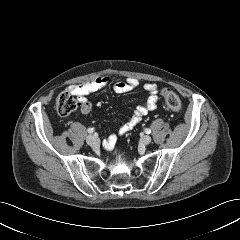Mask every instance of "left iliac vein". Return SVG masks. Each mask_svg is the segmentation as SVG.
<instances>
[{
    "instance_id": "left-iliac-vein-1",
    "label": "left iliac vein",
    "mask_w": 240,
    "mask_h": 240,
    "mask_svg": "<svg viewBox=\"0 0 240 240\" xmlns=\"http://www.w3.org/2000/svg\"><path fill=\"white\" fill-rule=\"evenodd\" d=\"M151 137L150 136H148V135H145V136H143L141 139H140V143L142 144V145H148V144H150L151 143Z\"/></svg>"
}]
</instances>
